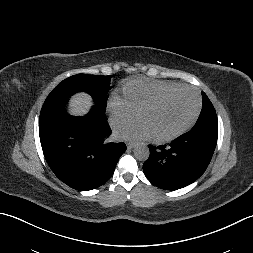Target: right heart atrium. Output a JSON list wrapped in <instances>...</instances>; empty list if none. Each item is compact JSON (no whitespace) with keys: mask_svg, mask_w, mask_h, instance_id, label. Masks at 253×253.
<instances>
[{"mask_svg":"<svg viewBox=\"0 0 253 253\" xmlns=\"http://www.w3.org/2000/svg\"><path fill=\"white\" fill-rule=\"evenodd\" d=\"M110 121L113 125L127 123L135 117V110L120 97H112L108 102Z\"/></svg>","mask_w":253,"mask_h":253,"instance_id":"obj_1","label":"right heart atrium"}]
</instances>
